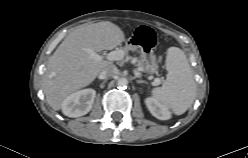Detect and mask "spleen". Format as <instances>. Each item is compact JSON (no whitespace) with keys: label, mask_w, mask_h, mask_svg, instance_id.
I'll list each match as a JSON object with an SVG mask.
<instances>
[{"label":"spleen","mask_w":248,"mask_h":158,"mask_svg":"<svg viewBox=\"0 0 248 158\" xmlns=\"http://www.w3.org/2000/svg\"><path fill=\"white\" fill-rule=\"evenodd\" d=\"M165 82L154 88L152 96L170 108L174 114L181 115L192 105L196 94V83L185 53L177 48L167 50Z\"/></svg>","instance_id":"obj_1"}]
</instances>
